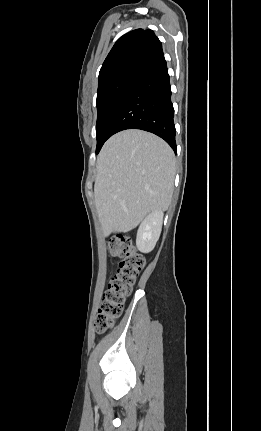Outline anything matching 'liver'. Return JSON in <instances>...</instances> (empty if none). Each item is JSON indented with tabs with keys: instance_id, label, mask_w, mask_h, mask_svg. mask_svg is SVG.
<instances>
[{
	"instance_id": "liver-1",
	"label": "liver",
	"mask_w": 261,
	"mask_h": 431,
	"mask_svg": "<svg viewBox=\"0 0 261 431\" xmlns=\"http://www.w3.org/2000/svg\"><path fill=\"white\" fill-rule=\"evenodd\" d=\"M175 155L156 135L129 129L110 137L97 157L95 206L104 236L128 232L172 198Z\"/></svg>"
}]
</instances>
